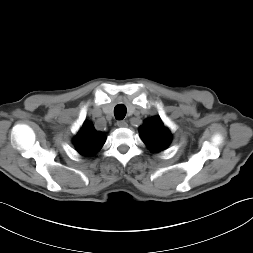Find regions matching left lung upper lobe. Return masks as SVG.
Instances as JSON below:
<instances>
[{
    "mask_svg": "<svg viewBox=\"0 0 253 253\" xmlns=\"http://www.w3.org/2000/svg\"><path fill=\"white\" fill-rule=\"evenodd\" d=\"M139 131L144 143L154 152L166 149L171 142L170 131L158 116L147 119Z\"/></svg>",
    "mask_w": 253,
    "mask_h": 253,
    "instance_id": "5c2ea615",
    "label": "left lung upper lobe"
}]
</instances>
